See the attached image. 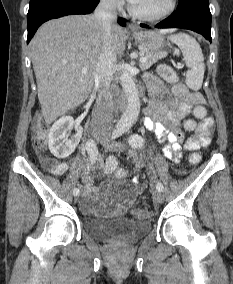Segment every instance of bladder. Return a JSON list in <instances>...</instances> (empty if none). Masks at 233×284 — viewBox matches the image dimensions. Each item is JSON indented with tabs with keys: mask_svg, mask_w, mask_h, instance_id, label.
<instances>
[{
	"mask_svg": "<svg viewBox=\"0 0 233 284\" xmlns=\"http://www.w3.org/2000/svg\"><path fill=\"white\" fill-rule=\"evenodd\" d=\"M100 202L106 204H125L134 201L137 189L129 181H113L106 187L94 191ZM93 204V199L86 197ZM83 230L91 237L98 240H112L115 238H125L135 240L146 235L151 229L149 220H133L126 217H87L82 222Z\"/></svg>",
	"mask_w": 233,
	"mask_h": 284,
	"instance_id": "bladder-1",
	"label": "bladder"
}]
</instances>
